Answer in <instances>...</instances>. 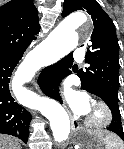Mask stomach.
<instances>
[{
    "label": "stomach",
    "mask_w": 124,
    "mask_h": 149,
    "mask_svg": "<svg viewBox=\"0 0 124 149\" xmlns=\"http://www.w3.org/2000/svg\"><path fill=\"white\" fill-rule=\"evenodd\" d=\"M106 138L113 140L115 136L107 132L95 133L84 129H78L74 133V143L81 149H102L101 147L106 144Z\"/></svg>",
    "instance_id": "obj_1"
}]
</instances>
